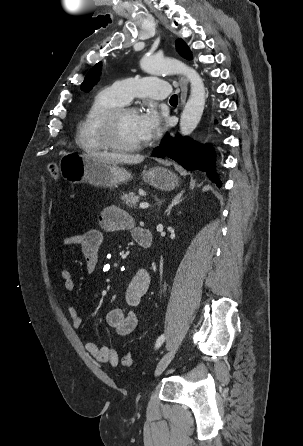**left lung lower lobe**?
Instances as JSON below:
<instances>
[{
	"label": "left lung lower lobe",
	"instance_id": "obj_1",
	"mask_svg": "<svg viewBox=\"0 0 303 446\" xmlns=\"http://www.w3.org/2000/svg\"><path fill=\"white\" fill-rule=\"evenodd\" d=\"M154 152V156H168L187 170L206 172L212 182L221 186L216 173L215 151L210 146H201L189 137L177 135L175 138H172L167 136Z\"/></svg>",
	"mask_w": 303,
	"mask_h": 446
}]
</instances>
